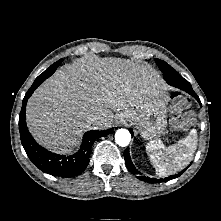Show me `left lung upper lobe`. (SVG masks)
<instances>
[{
  "label": "left lung upper lobe",
  "instance_id": "1",
  "mask_svg": "<svg viewBox=\"0 0 221 221\" xmlns=\"http://www.w3.org/2000/svg\"><path fill=\"white\" fill-rule=\"evenodd\" d=\"M158 67L164 74V78L167 83L178 81L183 78L175 69H173L169 64L161 59H155Z\"/></svg>",
  "mask_w": 221,
  "mask_h": 221
}]
</instances>
